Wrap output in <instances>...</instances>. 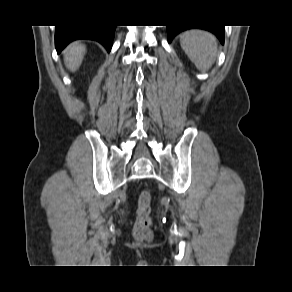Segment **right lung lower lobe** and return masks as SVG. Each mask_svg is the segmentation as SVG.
I'll return each instance as SVG.
<instances>
[{
	"label": "right lung lower lobe",
	"instance_id": "obj_1",
	"mask_svg": "<svg viewBox=\"0 0 292 292\" xmlns=\"http://www.w3.org/2000/svg\"><path fill=\"white\" fill-rule=\"evenodd\" d=\"M116 26L76 25L57 26L55 32V46L60 53L70 42L79 39L96 40L106 50H111Z\"/></svg>",
	"mask_w": 292,
	"mask_h": 292
}]
</instances>
